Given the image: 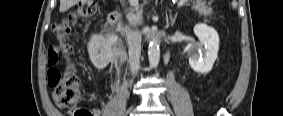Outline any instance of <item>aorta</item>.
<instances>
[{
    "label": "aorta",
    "instance_id": "obj_1",
    "mask_svg": "<svg viewBox=\"0 0 283 116\" xmlns=\"http://www.w3.org/2000/svg\"><path fill=\"white\" fill-rule=\"evenodd\" d=\"M148 58L151 67L156 68L160 61V41L156 37H151L148 47Z\"/></svg>",
    "mask_w": 283,
    "mask_h": 116
}]
</instances>
